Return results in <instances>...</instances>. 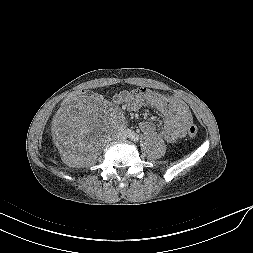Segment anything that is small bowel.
<instances>
[{
	"label": "small bowel",
	"instance_id": "1",
	"mask_svg": "<svg viewBox=\"0 0 253 253\" xmlns=\"http://www.w3.org/2000/svg\"><path fill=\"white\" fill-rule=\"evenodd\" d=\"M114 102L117 105H125L133 111L143 105L157 109L165 118V125L160 130V135L170 143L182 139L187 126L192 121L191 112L184 101L146 88L121 91L114 96ZM140 128L147 133L156 131V126L148 121L141 122Z\"/></svg>",
	"mask_w": 253,
	"mask_h": 253
}]
</instances>
